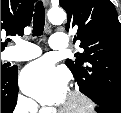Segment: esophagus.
Segmentation results:
<instances>
[{"label":"esophagus","instance_id":"esophagus-1","mask_svg":"<svg viewBox=\"0 0 121 113\" xmlns=\"http://www.w3.org/2000/svg\"><path fill=\"white\" fill-rule=\"evenodd\" d=\"M43 3H44L45 6H47L49 1L48 0H43Z\"/></svg>","mask_w":121,"mask_h":113}]
</instances>
